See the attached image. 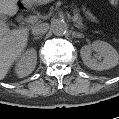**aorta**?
<instances>
[{"label":"aorta","instance_id":"762f6f07","mask_svg":"<svg viewBox=\"0 0 119 119\" xmlns=\"http://www.w3.org/2000/svg\"><path fill=\"white\" fill-rule=\"evenodd\" d=\"M51 30L56 36H63L68 31V25L66 22L61 20H56L51 24Z\"/></svg>","mask_w":119,"mask_h":119}]
</instances>
